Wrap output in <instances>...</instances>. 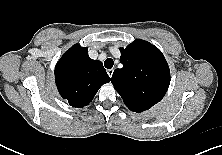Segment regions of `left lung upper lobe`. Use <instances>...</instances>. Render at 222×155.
<instances>
[{
  "instance_id": "5c2ea615",
  "label": "left lung upper lobe",
  "mask_w": 222,
  "mask_h": 155,
  "mask_svg": "<svg viewBox=\"0 0 222 155\" xmlns=\"http://www.w3.org/2000/svg\"><path fill=\"white\" fill-rule=\"evenodd\" d=\"M120 51L123 67L114 71L111 82L131 111L148 110L164 97L170 84L165 57L156 46L141 39Z\"/></svg>"
}]
</instances>
